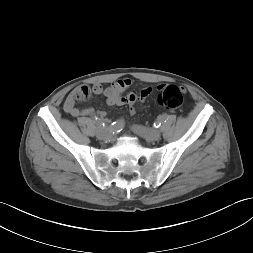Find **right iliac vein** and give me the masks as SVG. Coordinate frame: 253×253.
<instances>
[{"label": "right iliac vein", "mask_w": 253, "mask_h": 253, "mask_svg": "<svg viewBox=\"0 0 253 253\" xmlns=\"http://www.w3.org/2000/svg\"><path fill=\"white\" fill-rule=\"evenodd\" d=\"M109 130L106 128H98L96 131V136L100 140H104L108 137Z\"/></svg>", "instance_id": "obj_1"}]
</instances>
